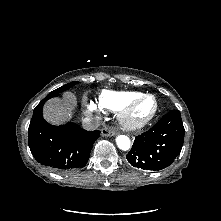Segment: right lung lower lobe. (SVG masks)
Returning a JSON list of instances; mask_svg holds the SVG:
<instances>
[{
    "instance_id": "98d812e1",
    "label": "right lung lower lobe",
    "mask_w": 221,
    "mask_h": 221,
    "mask_svg": "<svg viewBox=\"0 0 221 221\" xmlns=\"http://www.w3.org/2000/svg\"><path fill=\"white\" fill-rule=\"evenodd\" d=\"M44 98L34 109L28 129V142L32 155L42 165L66 172L83 168L90 156L100 131H86L69 122L53 126L42 116Z\"/></svg>"
}]
</instances>
